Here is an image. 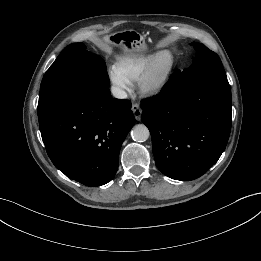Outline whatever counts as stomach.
Here are the masks:
<instances>
[{"instance_id":"stomach-1","label":"stomach","mask_w":261,"mask_h":261,"mask_svg":"<svg viewBox=\"0 0 261 261\" xmlns=\"http://www.w3.org/2000/svg\"><path fill=\"white\" fill-rule=\"evenodd\" d=\"M110 41L128 53H138L146 49L143 36L135 30H123L109 36Z\"/></svg>"}]
</instances>
